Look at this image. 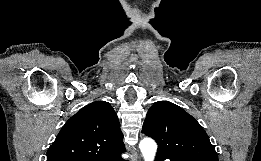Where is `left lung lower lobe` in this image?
<instances>
[{"mask_svg": "<svg viewBox=\"0 0 261 161\" xmlns=\"http://www.w3.org/2000/svg\"><path fill=\"white\" fill-rule=\"evenodd\" d=\"M164 159H170V161H188V160H184V159L168 156V155H166L164 153L157 152L155 161H161V160H164Z\"/></svg>", "mask_w": 261, "mask_h": 161, "instance_id": "0a47b994", "label": "left lung lower lobe"}]
</instances>
